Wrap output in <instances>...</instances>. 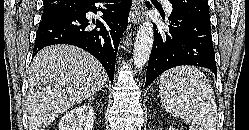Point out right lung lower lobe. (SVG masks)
<instances>
[{
    "instance_id": "98d812e1",
    "label": "right lung lower lobe",
    "mask_w": 249,
    "mask_h": 130,
    "mask_svg": "<svg viewBox=\"0 0 249 130\" xmlns=\"http://www.w3.org/2000/svg\"><path fill=\"white\" fill-rule=\"evenodd\" d=\"M95 3H103V8L97 9ZM130 8L131 0H86L67 15L42 20L32 57L49 45H75L96 57L113 82L116 54L127 26ZM99 10L103 13L100 19L91 22L86 18L87 12L97 13ZM91 23L96 24V27L91 28Z\"/></svg>"
}]
</instances>
